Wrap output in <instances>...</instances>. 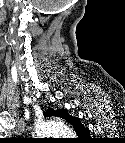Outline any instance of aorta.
Returning a JSON list of instances; mask_svg holds the SVG:
<instances>
[{
  "label": "aorta",
  "instance_id": "aorta-1",
  "mask_svg": "<svg viewBox=\"0 0 125 143\" xmlns=\"http://www.w3.org/2000/svg\"><path fill=\"white\" fill-rule=\"evenodd\" d=\"M37 136H51L53 134L69 135L71 130L63 123L58 121H41L35 127Z\"/></svg>",
  "mask_w": 125,
  "mask_h": 143
}]
</instances>
